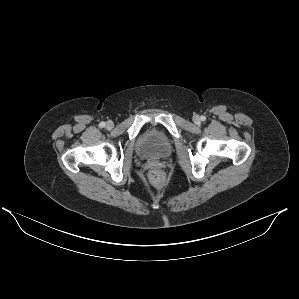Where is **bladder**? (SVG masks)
I'll use <instances>...</instances> for the list:
<instances>
[{
    "mask_svg": "<svg viewBox=\"0 0 299 299\" xmlns=\"http://www.w3.org/2000/svg\"><path fill=\"white\" fill-rule=\"evenodd\" d=\"M173 140L164 129L149 126L143 129L136 138V150L144 160H161L171 156Z\"/></svg>",
    "mask_w": 299,
    "mask_h": 299,
    "instance_id": "31cf9c89",
    "label": "bladder"
}]
</instances>
